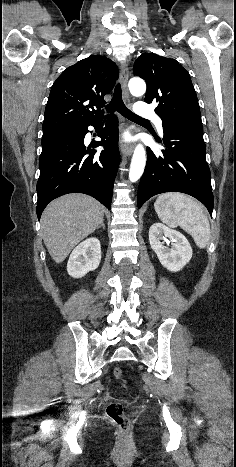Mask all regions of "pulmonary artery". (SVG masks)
<instances>
[{
    "instance_id": "e3ab8cb5",
    "label": "pulmonary artery",
    "mask_w": 236,
    "mask_h": 467,
    "mask_svg": "<svg viewBox=\"0 0 236 467\" xmlns=\"http://www.w3.org/2000/svg\"><path fill=\"white\" fill-rule=\"evenodd\" d=\"M135 113L139 117L152 119L155 122L158 131L160 133L163 132L162 121L154 112V108L151 105L145 102H138L135 107Z\"/></svg>"
}]
</instances>
